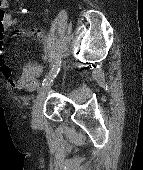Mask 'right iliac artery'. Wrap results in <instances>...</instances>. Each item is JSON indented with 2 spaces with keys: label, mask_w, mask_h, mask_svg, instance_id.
<instances>
[{
  "label": "right iliac artery",
  "mask_w": 143,
  "mask_h": 170,
  "mask_svg": "<svg viewBox=\"0 0 143 170\" xmlns=\"http://www.w3.org/2000/svg\"><path fill=\"white\" fill-rule=\"evenodd\" d=\"M57 60L54 64L53 67L51 69V71L49 72V74L46 76V78L43 80L42 82V86L50 81H53V79L57 76V74L59 73L60 70V65H61V61Z\"/></svg>",
  "instance_id": "1"
}]
</instances>
